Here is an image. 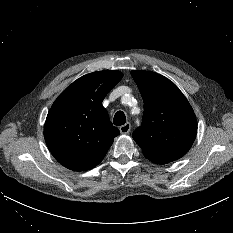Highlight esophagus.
Wrapping results in <instances>:
<instances>
[{"label":"esophagus","instance_id":"1","mask_svg":"<svg viewBox=\"0 0 233 233\" xmlns=\"http://www.w3.org/2000/svg\"><path fill=\"white\" fill-rule=\"evenodd\" d=\"M130 129H131L130 123H126L119 128L121 134H128L130 132Z\"/></svg>","mask_w":233,"mask_h":233}]
</instances>
